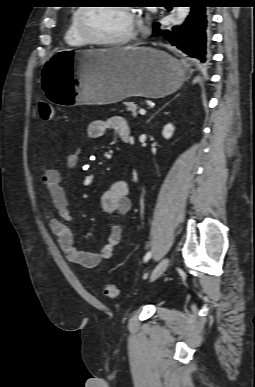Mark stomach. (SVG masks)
Listing matches in <instances>:
<instances>
[{
    "label": "stomach",
    "instance_id": "0dacf381",
    "mask_svg": "<svg viewBox=\"0 0 255 387\" xmlns=\"http://www.w3.org/2000/svg\"><path fill=\"white\" fill-rule=\"evenodd\" d=\"M182 64L165 52L130 47L118 50H59L42 69L43 95L59 108H88L130 96L160 98L177 91Z\"/></svg>",
    "mask_w": 255,
    "mask_h": 387
}]
</instances>
